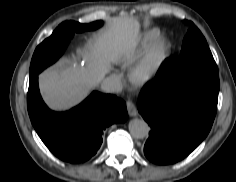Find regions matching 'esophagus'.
Segmentation results:
<instances>
[{"mask_svg": "<svg viewBox=\"0 0 236 182\" xmlns=\"http://www.w3.org/2000/svg\"><path fill=\"white\" fill-rule=\"evenodd\" d=\"M126 107H127L129 116L136 117L138 115L137 109L132 101H127Z\"/></svg>", "mask_w": 236, "mask_h": 182, "instance_id": "obj_1", "label": "esophagus"}]
</instances>
